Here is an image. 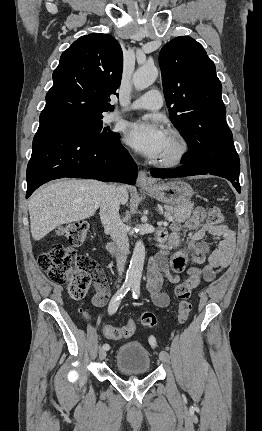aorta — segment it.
<instances>
[{
	"mask_svg": "<svg viewBox=\"0 0 262 431\" xmlns=\"http://www.w3.org/2000/svg\"><path fill=\"white\" fill-rule=\"evenodd\" d=\"M158 77V69L154 65H143L133 75V84L137 90H143L152 85ZM145 261V246L141 240L135 244L130 265L127 271V281L133 286H139Z\"/></svg>",
	"mask_w": 262,
	"mask_h": 431,
	"instance_id": "aorta-1",
	"label": "aorta"
}]
</instances>
